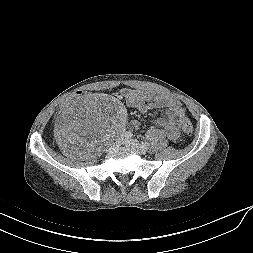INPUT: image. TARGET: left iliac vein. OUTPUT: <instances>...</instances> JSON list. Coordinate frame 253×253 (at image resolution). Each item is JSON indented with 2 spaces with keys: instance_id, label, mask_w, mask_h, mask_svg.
Returning <instances> with one entry per match:
<instances>
[{
  "instance_id": "1",
  "label": "left iliac vein",
  "mask_w": 253,
  "mask_h": 253,
  "mask_svg": "<svg viewBox=\"0 0 253 253\" xmlns=\"http://www.w3.org/2000/svg\"><path fill=\"white\" fill-rule=\"evenodd\" d=\"M123 144L137 154H145L146 149L135 139H125Z\"/></svg>"
}]
</instances>
